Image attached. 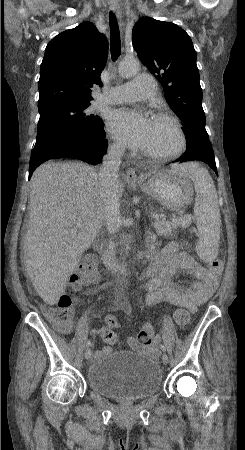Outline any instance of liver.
<instances>
[{"mask_svg": "<svg viewBox=\"0 0 245 450\" xmlns=\"http://www.w3.org/2000/svg\"><path fill=\"white\" fill-rule=\"evenodd\" d=\"M123 187L119 181V198ZM29 215L26 271L38 295L54 305L105 220L97 171L79 162L42 164L30 181Z\"/></svg>", "mask_w": 245, "mask_h": 450, "instance_id": "liver-1", "label": "liver"}]
</instances>
